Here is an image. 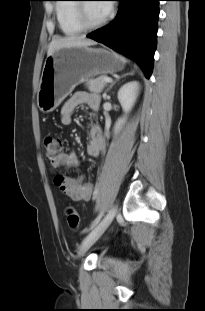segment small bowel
Returning a JSON list of instances; mask_svg holds the SVG:
<instances>
[{
	"label": "small bowel",
	"instance_id": "obj_1",
	"mask_svg": "<svg viewBox=\"0 0 205 311\" xmlns=\"http://www.w3.org/2000/svg\"><path fill=\"white\" fill-rule=\"evenodd\" d=\"M80 105H87L92 111L99 109L100 100L98 95L85 91H78L65 102L60 112V121L63 125L73 122L76 109ZM104 148V140L101 127L92 122L88 125L87 154L98 157ZM78 158L74 151L61 152L52 161L51 168L56 170L62 167L71 168L77 165ZM55 186L74 201H87L90 199L93 186L84 180L83 175L71 177L64 173H56L54 176Z\"/></svg>",
	"mask_w": 205,
	"mask_h": 311
}]
</instances>
